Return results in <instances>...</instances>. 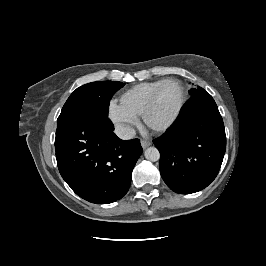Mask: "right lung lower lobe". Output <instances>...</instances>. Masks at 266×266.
<instances>
[{
  "label": "right lung lower lobe",
  "instance_id": "98d812e1",
  "mask_svg": "<svg viewBox=\"0 0 266 266\" xmlns=\"http://www.w3.org/2000/svg\"><path fill=\"white\" fill-rule=\"evenodd\" d=\"M113 131L107 115L87 112L56 134V159L62 178L91 203L121 199L143 151L138 139L121 140Z\"/></svg>",
  "mask_w": 266,
  "mask_h": 266
}]
</instances>
